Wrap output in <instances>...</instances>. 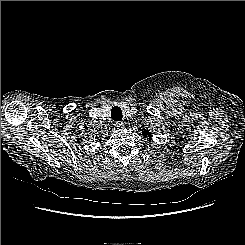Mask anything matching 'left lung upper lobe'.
Instances as JSON below:
<instances>
[{
  "label": "left lung upper lobe",
  "mask_w": 245,
  "mask_h": 245,
  "mask_svg": "<svg viewBox=\"0 0 245 245\" xmlns=\"http://www.w3.org/2000/svg\"><path fill=\"white\" fill-rule=\"evenodd\" d=\"M143 136H144V137H147V136L150 137V136H151V133H150L149 131H146V130H145V131H143Z\"/></svg>",
  "instance_id": "1"
}]
</instances>
